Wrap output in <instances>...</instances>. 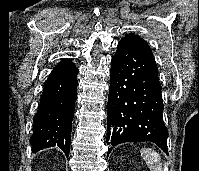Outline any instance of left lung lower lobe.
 I'll return each instance as SVG.
<instances>
[{
    "mask_svg": "<svg viewBox=\"0 0 199 171\" xmlns=\"http://www.w3.org/2000/svg\"><path fill=\"white\" fill-rule=\"evenodd\" d=\"M158 68L153 58L120 40L112 58L108 97L107 144L151 141L166 154L168 131Z\"/></svg>",
    "mask_w": 199,
    "mask_h": 171,
    "instance_id": "obj_1",
    "label": "left lung lower lobe"
}]
</instances>
